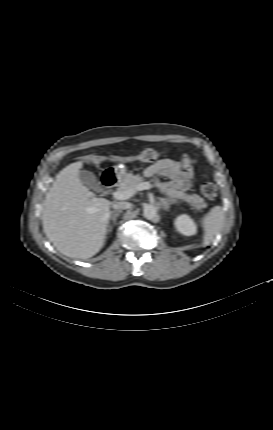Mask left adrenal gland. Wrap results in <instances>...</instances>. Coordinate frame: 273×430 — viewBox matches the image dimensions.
<instances>
[{"mask_svg":"<svg viewBox=\"0 0 273 430\" xmlns=\"http://www.w3.org/2000/svg\"><path fill=\"white\" fill-rule=\"evenodd\" d=\"M171 204H172V202L170 200L162 199L160 201V205H161L162 209L165 211H169V206Z\"/></svg>","mask_w":273,"mask_h":430,"instance_id":"left-adrenal-gland-1","label":"left adrenal gland"}]
</instances>
